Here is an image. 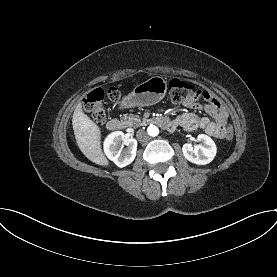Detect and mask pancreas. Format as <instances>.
Masks as SVG:
<instances>
[{"label":"pancreas","instance_id":"cf45deb5","mask_svg":"<svg viewBox=\"0 0 277 277\" xmlns=\"http://www.w3.org/2000/svg\"><path fill=\"white\" fill-rule=\"evenodd\" d=\"M125 124L129 127H139L143 125L141 118L136 115L125 116Z\"/></svg>","mask_w":277,"mask_h":277}]
</instances>
